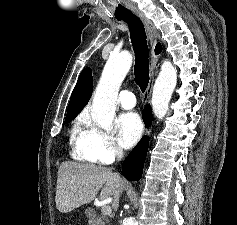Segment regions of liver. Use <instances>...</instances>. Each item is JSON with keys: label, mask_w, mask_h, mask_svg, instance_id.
<instances>
[{"label": "liver", "mask_w": 237, "mask_h": 225, "mask_svg": "<svg viewBox=\"0 0 237 225\" xmlns=\"http://www.w3.org/2000/svg\"><path fill=\"white\" fill-rule=\"evenodd\" d=\"M124 188L125 182L108 168L66 161L58 170L56 208L61 213L71 212L93 201L100 189V199L112 196V206L117 208Z\"/></svg>", "instance_id": "liver-1"}]
</instances>
